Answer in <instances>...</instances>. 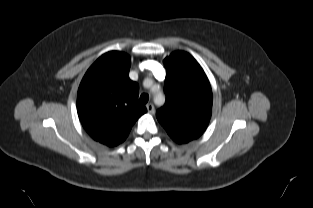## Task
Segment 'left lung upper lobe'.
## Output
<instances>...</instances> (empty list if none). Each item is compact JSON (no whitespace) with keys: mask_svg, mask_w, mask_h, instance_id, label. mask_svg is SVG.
<instances>
[{"mask_svg":"<svg viewBox=\"0 0 313 208\" xmlns=\"http://www.w3.org/2000/svg\"><path fill=\"white\" fill-rule=\"evenodd\" d=\"M166 103L156 116L169 136L179 144L205 131L212 110V90L198 62L184 51L164 59Z\"/></svg>","mask_w":313,"mask_h":208,"instance_id":"5c2ea615","label":"left lung upper lobe"}]
</instances>
